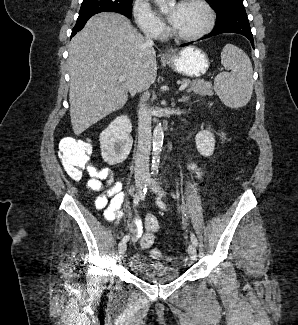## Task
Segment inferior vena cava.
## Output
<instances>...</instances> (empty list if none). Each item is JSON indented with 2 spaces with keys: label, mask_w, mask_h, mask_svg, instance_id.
Here are the masks:
<instances>
[{
  "label": "inferior vena cava",
  "mask_w": 298,
  "mask_h": 325,
  "mask_svg": "<svg viewBox=\"0 0 298 325\" xmlns=\"http://www.w3.org/2000/svg\"><path fill=\"white\" fill-rule=\"evenodd\" d=\"M146 46H153L152 34L145 36ZM151 120L152 108L149 104H139L138 108V144L135 156L134 175L136 181L148 179L149 175V156L151 150Z\"/></svg>",
  "instance_id": "602c4592"
}]
</instances>
